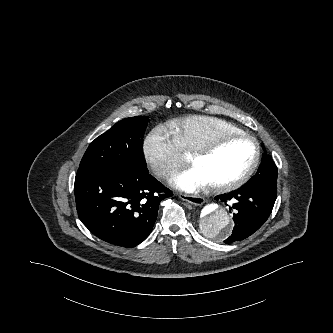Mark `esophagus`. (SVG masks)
Instances as JSON below:
<instances>
[{"instance_id": "34e87169", "label": "esophagus", "mask_w": 333, "mask_h": 333, "mask_svg": "<svg viewBox=\"0 0 333 333\" xmlns=\"http://www.w3.org/2000/svg\"><path fill=\"white\" fill-rule=\"evenodd\" d=\"M178 196L182 200L187 201V202L197 205V206L202 205L204 203V198L201 196L187 195V194H183V193H179Z\"/></svg>"}]
</instances>
